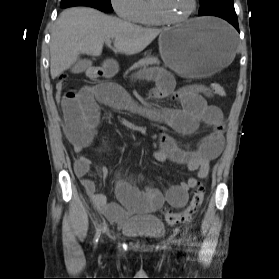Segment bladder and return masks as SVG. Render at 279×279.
<instances>
[{
    "label": "bladder",
    "instance_id": "31cf9c89",
    "mask_svg": "<svg viewBox=\"0 0 279 279\" xmlns=\"http://www.w3.org/2000/svg\"><path fill=\"white\" fill-rule=\"evenodd\" d=\"M121 230L130 237L158 239L164 233V224L153 215L127 216L121 225Z\"/></svg>",
    "mask_w": 279,
    "mask_h": 279
}]
</instances>
